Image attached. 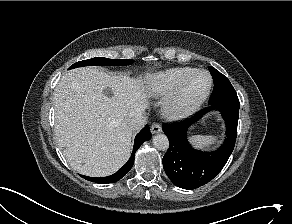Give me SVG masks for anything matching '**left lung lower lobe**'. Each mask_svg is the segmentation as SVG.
<instances>
[{"label": "left lung lower lobe", "instance_id": "left-lung-lower-lobe-1", "mask_svg": "<svg viewBox=\"0 0 292 224\" xmlns=\"http://www.w3.org/2000/svg\"><path fill=\"white\" fill-rule=\"evenodd\" d=\"M239 107L238 97L231 96L209 104L189 119L162 126L170 144L163 157V167L176 186L184 189L198 188L222 170L235 146ZM212 110H218L225 122L224 144L212 152L195 150L187 140L188 128Z\"/></svg>", "mask_w": 292, "mask_h": 224}]
</instances>
